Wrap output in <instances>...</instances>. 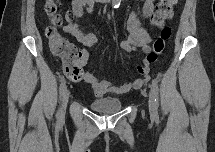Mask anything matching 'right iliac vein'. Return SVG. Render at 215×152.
<instances>
[{
    "instance_id": "63e3f726",
    "label": "right iliac vein",
    "mask_w": 215,
    "mask_h": 152,
    "mask_svg": "<svg viewBox=\"0 0 215 152\" xmlns=\"http://www.w3.org/2000/svg\"><path fill=\"white\" fill-rule=\"evenodd\" d=\"M69 96H70V92L68 90H66L64 92L63 98H62V106H61V110H60L61 118H63V116H64Z\"/></svg>"
}]
</instances>
